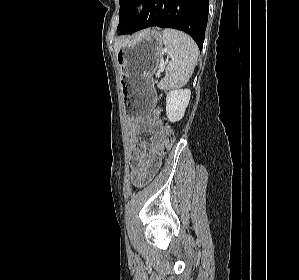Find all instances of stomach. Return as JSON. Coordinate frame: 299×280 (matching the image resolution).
<instances>
[{
    "instance_id": "stomach-1",
    "label": "stomach",
    "mask_w": 299,
    "mask_h": 280,
    "mask_svg": "<svg viewBox=\"0 0 299 280\" xmlns=\"http://www.w3.org/2000/svg\"><path fill=\"white\" fill-rule=\"evenodd\" d=\"M162 47L161 33L148 29L117 52L122 73L121 91L128 116L144 118L153 108L155 90L152 76L158 69Z\"/></svg>"
}]
</instances>
